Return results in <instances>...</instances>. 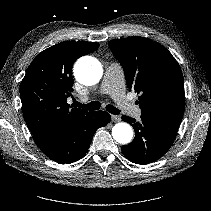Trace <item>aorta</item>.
Listing matches in <instances>:
<instances>
[{
	"label": "aorta",
	"mask_w": 211,
	"mask_h": 211,
	"mask_svg": "<svg viewBox=\"0 0 211 211\" xmlns=\"http://www.w3.org/2000/svg\"><path fill=\"white\" fill-rule=\"evenodd\" d=\"M100 62L89 56L80 58L74 66V75L78 82L91 86L98 83L102 77ZM113 138L120 144H128L133 139V131L129 124L121 122L112 128Z\"/></svg>",
	"instance_id": "762f6f07"
}]
</instances>
